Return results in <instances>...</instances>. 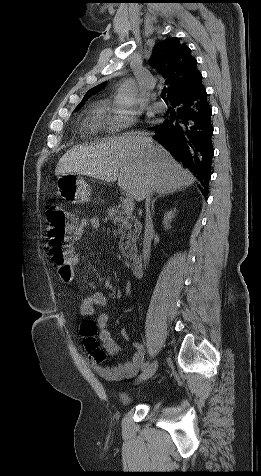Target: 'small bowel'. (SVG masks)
<instances>
[{
  "label": "small bowel",
  "instance_id": "obj_1",
  "mask_svg": "<svg viewBox=\"0 0 261 476\" xmlns=\"http://www.w3.org/2000/svg\"><path fill=\"white\" fill-rule=\"evenodd\" d=\"M100 228V220L97 217H85L81 219L77 226L75 233V238L80 239L86 232L87 229L98 230ZM80 263V256L74 254L70 259V265L72 269H75ZM89 287L92 289V292L83 297L79 306L80 314L86 320H91L96 314V311L100 308H103L107 305V297L100 291L95 288L93 283H89ZM131 285L129 282L125 283V296L130 297L131 295ZM95 326V334L97 333L98 339L101 342L103 348L113 354L118 355L121 353V348L117 345L114 339L111 337V334L108 330L109 316L105 312H100L96 314L95 320H92ZM120 334L123 339H129V333L126 329H122ZM135 352L132 358L123 364L118 366H107L98 361L94 354L90 352L89 359L91 361L94 369L103 377L108 380H120L125 377L134 376L140 368L143 366L145 349L144 346L139 342L133 343Z\"/></svg>",
  "mask_w": 261,
  "mask_h": 476
}]
</instances>
